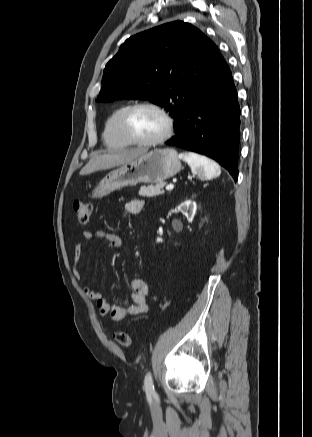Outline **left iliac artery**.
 <instances>
[{
	"mask_svg": "<svg viewBox=\"0 0 312 437\" xmlns=\"http://www.w3.org/2000/svg\"><path fill=\"white\" fill-rule=\"evenodd\" d=\"M144 387H145V391H146L147 396H152L155 394L152 375L150 372H148L145 376Z\"/></svg>",
	"mask_w": 312,
	"mask_h": 437,
	"instance_id": "left-iliac-artery-1",
	"label": "left iliac artery"
}]
</instances>
